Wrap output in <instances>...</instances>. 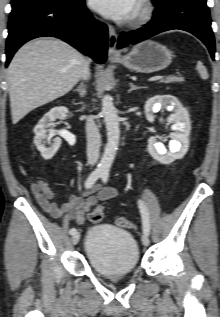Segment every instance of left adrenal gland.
I'll return each instance as SVG.
<instances>
[{"instance_id": "1", "label": "left adrenal gland", "mask_w": 220, "mask_h": 317, "mask_svg": "<svg viewBox=\"0 0 220 317\" xmlns=\"http://www.w3.org/2000/svg\"><path fill=\"white\" fill-rule=\"evenodd\" d=\"M129 86H130V89H129L128 92H131V91H133V90H136V89L141 88V87H138V86L134 85L133 83H129Z\"/></svg>"}]
</instances>
